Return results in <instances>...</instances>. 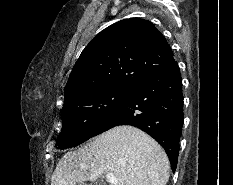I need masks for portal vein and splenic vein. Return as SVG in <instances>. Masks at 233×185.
<instances>
[{
	"label": "portal vein and splenic vein",
	"mask_w": 233,
	"mask_h": 185,
	"mask_svg": "<svg viewBox=\"0 0 233 185\" xmlns=\"http://www.w3.org/2000/svg\"><path fill=\"white\" fill-rule=\"evenodd\" d=\"M81 168H87L85 165H80ZM107 181L110 183H116L117 179L114 177L112 173L106 174Z\"/></svg>",
	"instance_id": "obj_1"
}]
</instances>
